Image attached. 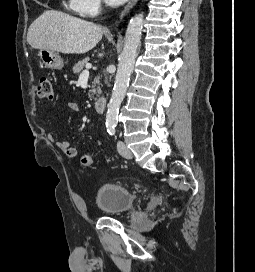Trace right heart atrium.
I'll list each match as a JSON object with an SVG mask.
<instances>
[{"label":"right heart atrium","mask_w":255,"mask_h":272,"mask_svg":"<svg viewBox=\"0 0 255 272\" xmlns=\"http://www.w3.org/2000/svg\"><path fill=\"white\" fill-rule=\"evenodd\" d=\"M101 7V0H73V10L83 16H94Z\"/></svg>","instance_id":"1"}]
</instances>
